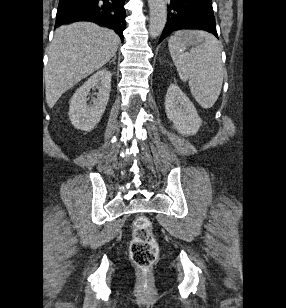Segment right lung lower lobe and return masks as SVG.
<instances>
[{
    "label": "right lung lower lobe",
    "instance_id": "1",
    "mask_svg": "<svg viewBox=\"0 0 286 308\" xmlns=\"http://www.w3.org/2000/svg\"><path fill=\"white\" fill-rule=\"evenodd\" d=\"M125 0H59L55 27L67 22L90 21L114 29L123 41Z\"/></svg>",
    "mask_w": 286,
    "mask_h": 308
}]
</instances>
